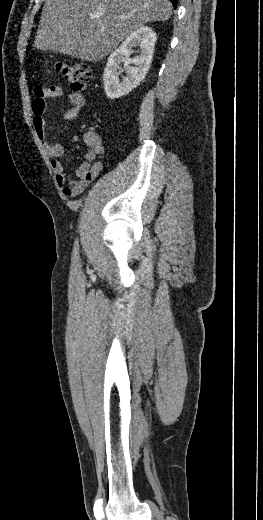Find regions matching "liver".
<instances>
[{
    "label": "liver",
    "instance_id": "liver-1",
    "mask_svg": "<svg viewBox=\"0 0 263 520\" xmlns=\"http://www.w3.org/2000/svg\"><path fill=\"white\" fill-rule=\"evenodd\" d=\"M98 13L99 18L90 17ZM171 13L169 0H46L34 46L99 61L134 31L148 22L166 21Z\"/></svg>",
    "mask_w": 263,
    "mask_h": 520
}]
</instances>
